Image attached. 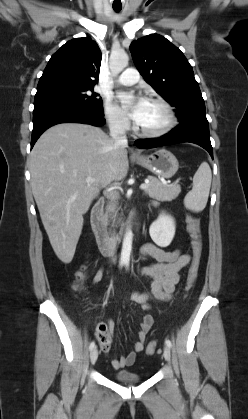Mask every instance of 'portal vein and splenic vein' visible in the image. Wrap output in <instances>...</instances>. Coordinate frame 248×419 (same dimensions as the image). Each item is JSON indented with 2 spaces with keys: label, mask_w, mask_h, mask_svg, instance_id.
Segmentation results:
<instances>
[{
  "label": "portal vein and splenic vein",
  "mask_w": 248,
  "mask_h": 419,
  "mask_svg": "<svg viewBox=\"0 0 248 419\" xmlns=\"http://www.w3.org/2000/svg\"><path fill=\"white\" fill-rule=\"evenodd\" d=\"M86 182L93 183L95 182V179H93L92 177H87ZM146 188H148V183H143L140 185V189L145 190Z\"/></svg>",
  "instance_id": "obj_1"
}]
</instances>
